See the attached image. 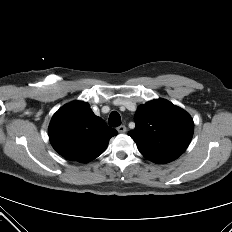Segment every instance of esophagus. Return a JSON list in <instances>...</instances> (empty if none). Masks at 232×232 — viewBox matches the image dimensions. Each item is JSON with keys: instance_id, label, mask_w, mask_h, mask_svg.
I'll return each instance as SVG.
<instances>
[{"instance_id": "esophagus-1", "label": "esophagus", "mask_w": 232, "mask_h": 232, "mask_svg": "<svg viewBox=\"0 0 232 232\" xmlns=\"http://www.w3.org/2000/svg\"><path fill=\"white\" fill-rule=\"evenodd\" d=\"M117 131H118L119 133H125V132L127 131V128H126L125 125H121V126H118V127H117Z\"/></svg>"}]
</instances>
